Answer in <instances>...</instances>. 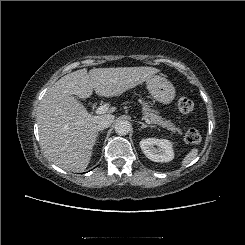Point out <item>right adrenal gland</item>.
Wrapping results in <instances>:
<instances>
[{
    "label": "right adrenal gland",
    "mask_w": 245,
    "mask_h": 245,
    "mask_svg": "<svg viewBox=\"0 0 245 245\" xmlns=\"http://www.w3.org/2000/svg\"><path fill=\"white\" fill-rule=\"evenodd\" d=\"M101 131H103V129H98L97 136H98L99 132H101Z\"/></svg>",
    "instance_id": "1"
}]
</instances>
